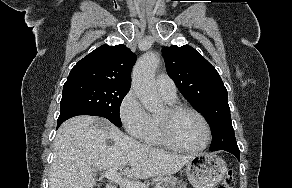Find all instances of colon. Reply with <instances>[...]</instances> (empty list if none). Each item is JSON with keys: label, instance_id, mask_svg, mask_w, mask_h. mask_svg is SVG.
<instances>
[{"label": "colon", "instance_id": "colon-1", "mask_svg": "<svg viewBox=\"0 0 292 188\" xmlns=\"http://www.w3.org/2000/svg\"><path fill=\"white\" fill-rule=\"evenodd\" d=\"M233 174L231 170H228L224 176L223 181L217 188H233Z\"/></svg>", "mask_w": 292, "mask_h": 188}]
</instances>
